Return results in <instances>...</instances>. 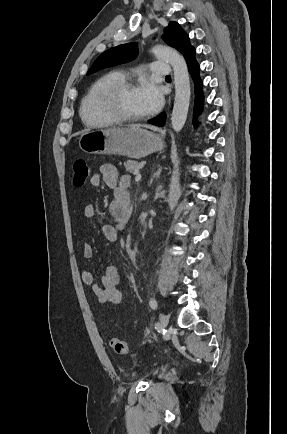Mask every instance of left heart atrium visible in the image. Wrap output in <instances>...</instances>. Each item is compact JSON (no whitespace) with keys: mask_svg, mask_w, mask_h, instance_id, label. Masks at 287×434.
<instances>
[{"mask_svg":"<svg viewBox=\"0 0 287 434\" xmlns=\"http://www.w3.org/2000/svg\"><path fill=\"white\" fill-rule=\"evenodd\" d=\"M136 90L138 99L147 114L155 113L161 108L164 96L157 84L145 81Z\"/></svg>","mask_w":287,"mask_h":434,"instance_id":"39dd6f15","label":"left heart atrium"}]
</instances>
